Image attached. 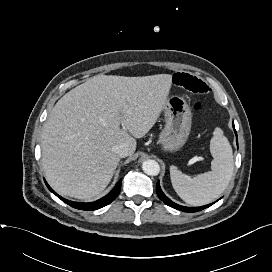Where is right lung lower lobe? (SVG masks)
<instances>
[{"mask_svg": "<svg viewBox=\"0 0 272 272\" xmlns=\"http://www.w3.org/2000/svg\"><path fill=\"white\" fill-rule=\"evenodd\" d=\"M121 181L122 179H120L117 184L115 185V187L113 188V190L106 196H104L103 198L95 201V202H91V203H79V202H72L69 200H66L64 198H62L61 196H59L58 194H56L51 188L50 186L46 183L47 187L49 188V190L54 193L57 197H59L62 201H64L65 203H67L68 205L76 208V209H81V210H96L99 208H102L108 204H110L112 201L115 200V198L119 195L120 193V189H121Z\"/></svg>", "mask_w": 272, "mask_h": 272, "instance_id": "right-lung-lower-lobe-1", "label": "right lung lower lobe"}]
</instances>
